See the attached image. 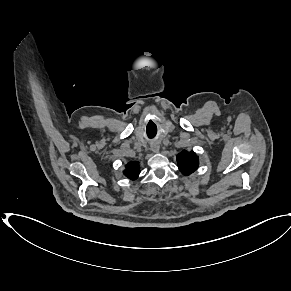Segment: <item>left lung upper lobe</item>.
<instances>
[{"mask_svg": "<svg viewBox=\"0 0 291 291\" xmlns=\"http://www.w3.org/2000/svg\"><path fill=\"white\" fill-rule=\"evenodd\" d=\"M177 162L179 170L184 175H190L192 172H194L198 168V157L196 154L191 151H182L177 155Z\"/></svg>", "mask_w": 291, "mask_h": 291, "instance_id": "left-lung-upper-lobe-1", "label": "left lung upper lobe"}]
</instances>
